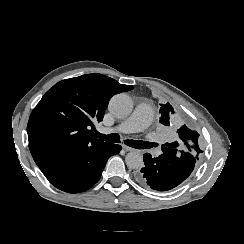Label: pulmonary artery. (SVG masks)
Here are the masks:
<instances>
[{"mask_svg":"<svg viewBox=\"0 0 244 244\" xmlns=\"http://www.w3.org/2000/svg\"><path fill=\"white\" fill-rule=\"evenodd\" d=\"M153 108L150 102L140 101L136 105V111L133 115L127 118L124 122V128H120V131L128 133H137L141 129L146 128L152 121ZM117 131V127L112 129V132Z\"/></svg>","mask_w":244,"mask_h":244,"instance_id":"e3ab8cb5","label":"pulmonary artery"}]
</instances>
